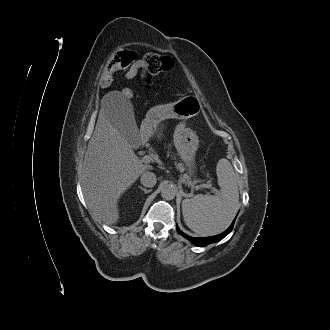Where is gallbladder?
<instances>
[{
    "label": "gallbladder",
    "mask_w": 330,
    "mask_h": 330,
    "mask_svg": "<svg viewBox=\"0 0 330 330\" xmlns=\"http://www.w3.org/2000/svg\"><path fill=\"white\" fill-rule=\"evenodd\" d=\"M115 126L129 142L136 137V121L133 106L130 102L119 103L114 107Z\"/></svg>",
    "instance_id": "1"
}]
</instances>
